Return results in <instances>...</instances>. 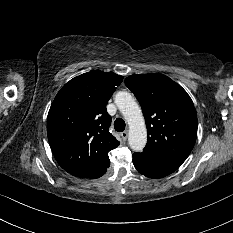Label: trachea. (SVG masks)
<instances>
[{
  "label": "trachea",
  "mask_w": 233,
  "mask_h": 233,
  "mask_svg": "<svg viewBox=\"0 0 233 233\" xmlns=\"http://www.w3.org/2000/svg\"><path fill=\"white\" fill-rule=\"evenodd\" d=\"M125 122L122 118H117L115 121H114V128L116 131L118 132H123L124 129H125Z\"/></svg>",
  "instance_id": "1"
}]
</instances>
